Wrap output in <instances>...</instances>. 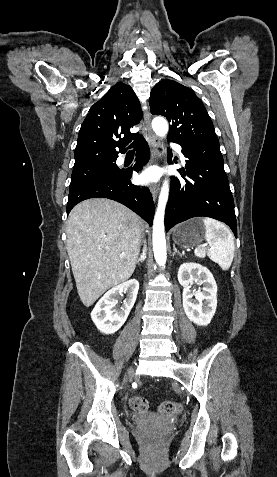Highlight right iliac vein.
<instances>
[{
    "label": "right iliac vein",
    "mask_w": 277,
    "mask_h": 477,
    "mask_svg": "<svg viewBox=\"0 0 277 477\" xmlns=\"http://www.w3.org/2000/svg\"><path fill=\"white\" fill-rule=\"evenodd\" d=\"M131 373H132V368H130L128 371V374H131Z\"/></svg>",
    "instance_id": "obj_1"
}]
</instances>
